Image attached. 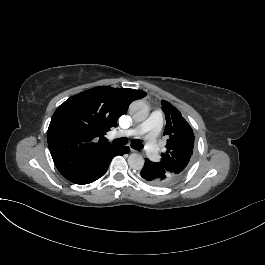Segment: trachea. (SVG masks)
Segmentation results:
<instances>
[{"mask_svg":"<svg viewBox=\"0 0 265 265\" xmlns=\"http://www.w3.org/2000/svg\"><path fill=\"white\" fill-rule=\"evenodd\" d=\"M113 144L116 145V146H125L127 144V139L126 138L115 139L113 141ZM131 146L134 149H142V147H143L141 141L138 140V139L132 140Z\"/></svg>","mask_w":265,"mask_h":265,"instance_id":"1","label":"trachea"}]
</instances>
